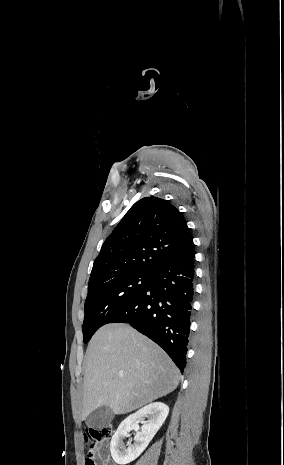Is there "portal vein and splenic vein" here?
Returning <instances> with one entry per match:
<instances>
[{
  "label": "portal vein and splenic vein",
  "mask_w": 284,
  "mask_h": 465,
  "mask_svg": "<svg viewBox=\"0 0 284 465\" xmlns=\"http://www.w3.org/2000/svg\"><path fill=\"white\" fill-rule=\"evenodd\" d=\"M118 377H124V375H118Z\"/></svg>",
  "instance_id": "18ae733b"
}]
</instances>
